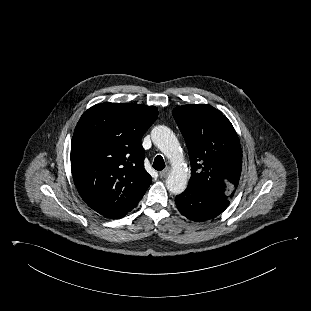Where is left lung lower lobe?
<instances>
[{"label":"left lung lower lobe","mask_w":311,"mask_h":311,"mask_svg":"<svg viewBox=\"0 0 311 311\" xmlns=\"http://www.w3.org/2000/svg\"><path fill=\"white\" fill-rule=\"evenodd\" d=\"M229 200L204 191L193 184L176 196L178 210L185 217L202 222L222 213L229 205Z\"/></svg>","instance_id":"obj_1"}]
</instances>
